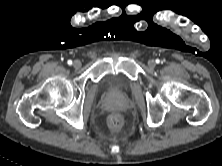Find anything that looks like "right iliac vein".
<instances>
[{
  "label": "right iliac vein",
  "mask_w": 222,
  "mask_h": 166,
  "mask_svg": "<svg viewBox=\"0 0 222 166\" xmlns=\"http://www.w3.org/2000/svg\"><path fill=\"white\" fill-rule=\"evenodd\" d=\"M73 66L74 68L79 69L81 67V62L79 60H75L73 62Z\"/></svg>",
  "instance_id": "63e3f726"
}]
</instances>
